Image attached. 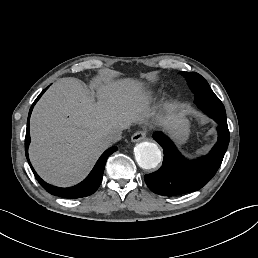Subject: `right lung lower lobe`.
Instances as JSON below:
<instances>
[{"instance_id": "right-lung-lower-lobe-1", "label": "right lung lower lobe", "mask_w": 258, "mask_h": 258, "mask_svg": "<svg viewBox=\"0 0 258 258\" xmlns=\"http://www.w3.org/2000/svg\"><path fill=\"white\" fill-rule=\"evenodd\" d=\"M46 91V89H44L40 95L37 97V99L34 101L33 105L30 108L29 111V115H28V120H27V131H26V137H25V152H26V157L28 160V163L37 179V181L42 185V187L49 192L52 195L58 196V197H62V198H66V199H75V198H81V197H86L89 196L91 194H93L98 187L101 184L102 181V177H103V172L105 169V164L107 161V158L115 151H117V147L113 146L110 147L109 149H107L102 155L101 157L98 159L97 163L95 164L94 168L92 169V171L90 172V174L79 184L73 186V187H69V188H60V187H56L53 185H50L48 183H46L45 181H43L35 172V170L33 169L29 158H28V146L30 143V134H29V120H30V115L32 112V109L35 105V103L39 100V98L41 97V95Z\"/></svg>"}]
</instances>
